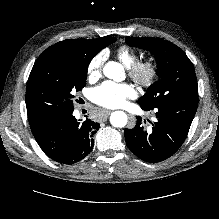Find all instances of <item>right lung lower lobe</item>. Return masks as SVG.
I'll return each instance as SVG.
<instances>
[{
    "label": "right lung lower lobe",
    "mask_w": 219,
    "mask_h": 219,
    "mask_svg": "<svg viewBox=\"0 0 219 219\" xmlns=\"http://www.w3.org/2000/svg\"><path fill=\"white\" fill-rule=\"evenodd\" d=\"M73 110H65L43 122L30 125L43 152L63 164H73L87 156L94 145L92 137L100 128L99 123L88 118L80 122L73 116Z\"/></svg>",
    "instance_id": "1"
}]
</instances>
